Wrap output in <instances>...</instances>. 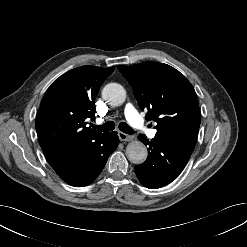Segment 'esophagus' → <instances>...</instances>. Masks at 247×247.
Listing matches in <instances>:
<instances>
[{
	"label": "esophagus",
	"mask_w": 247,
	"mask_h": 247,
	"mask_svg": "<svg viewBox=\"0 0 247 247\" xmlns=\"http://www.w3.org/2000/svg\"><path fill=\"white\" fill-rule=\"evenodd\" d=\"M118 137L121 141H131L134 138L132 135L125 134L121 131H118Z\"/></svg>",
	"instance_id": "esophagus-1"
}]
</instances>
